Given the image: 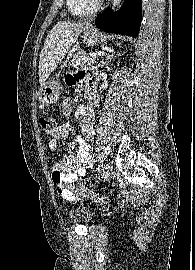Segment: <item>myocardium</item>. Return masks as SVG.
<instances>
[{"mask_svg": "<svg viewBox=\"0 0 195 270\" xmlns=\"http://www.w3.org/2000/svg\"><path fill=\"white\" fill-rule=\"evenodd\" d=\"M91 1L94 3L95 9L97 10L103 0H91Z\"/></svg>", "mask_w": 195, "mask_h": 270, "instance_id": "obj_1", "label": "myocardium"}]
</instances>
